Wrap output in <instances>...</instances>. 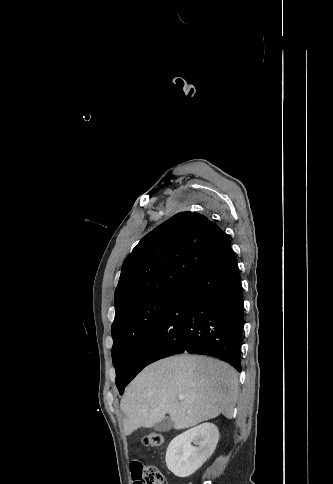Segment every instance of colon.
I'll return each instance as SVG.
<instances>
[{
    "instance_id": "obj_1",
    "label": "colon",
    "mask_w": 333,
    "mask_h": 484,
    "mask_svg": "<svg viewBox=\"0 0 333 484\" xmlns=\"http://www.w3.org/2000/svg\"><path fill=\"white\" fill-rule=\"evenodd\" d=\"M163 436L159 433H148L142 438V443L147 447H159L163 444ZM163 474L155 466L142 465L139 473L137 484H163Z\"/></svg>"
}]
</instances>
